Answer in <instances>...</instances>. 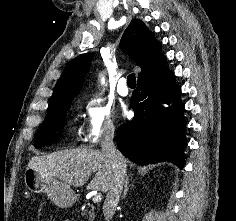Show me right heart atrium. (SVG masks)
<instances>
[{
	"mask_svg": "<svg viewBox=\"0 0 236 221\" xmlns=\"http://www.w3.org/2000/svg\"><path fill=\"white\" fill-rule=\"evenodd\" d=\"M116 131L113 109L101 99L90 98L85 103L83 140L90 145L111 136Z\"/></svg>",
	"mask_w": 236,
	"mask_h": 221,
	"instance_id": "d8ad5b80",
	"label": "right heart atrium"
}]
</instances>
